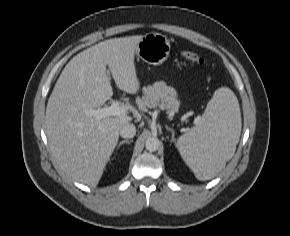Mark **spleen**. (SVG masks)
<instances>
[{
	"mask_svg": "<svg viewBox=\"0 0 290 236\" xmlns=\"http://www.w3.org/2000/svg\"><path fill=\"white\" fill-rule=\"evenodd\" d=\"M241 127L236 95L228 87L217 89L197 125L176 143L197 179L210 180L225 168L235 153Z\"/></svg>",
	"mask_w": 290,
	"mask_h": 236,
	"instance_id": "obj_1",
	"label": "spleen"
}]
</instances>
